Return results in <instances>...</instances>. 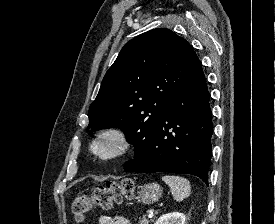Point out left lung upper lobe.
Returning a JSON list of instances; mask_svg holds the SVG:
<instances>
[{
  "instance_id": "1",
  "label": "left lung upper lobe",
  "mask_w": 275,
  "mask_h": 224,
  "mask_svg": "<svg viewBox=\"0 0 275 224\" xmlns=\"http://www.w3.org/2000/svg\"><path fill=\"white\" fill-rule=\"evenodd\" d=\"M200 67L191 45L169 29H153L133 38L103 78L89 108V127L94 131L121 128L137 155L177 93Z\"/></svg>"
}]
</instances>
